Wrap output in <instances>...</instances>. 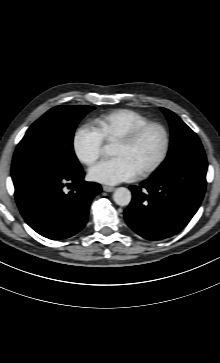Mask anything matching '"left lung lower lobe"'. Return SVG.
<instances>
[{
  "label": "left lung lower lobe",
  "mask_w": 220,
  "mask_h": 363,
  "mask_svg": "<svg viewBox=\"0 0 220 363\" xmlns=\"http://www.w3.org/2000/svg\"><path fill=\"white\" fill-rule=\"evenodd\" d=\"M206 172V158L190 157L156 171L140 186H131L133 198L124 211L128 226L148 240L181 231L201 204Z\"/></svg>",
  "instance_id": "0a47b994"
}]
</instances>
